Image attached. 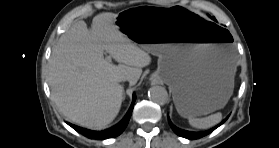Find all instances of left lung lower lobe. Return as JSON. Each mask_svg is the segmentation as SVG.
Segmentation results:
<instances>
[{
  "label": "left lung lower lobe",
  "instance_id": "1",
  "mask_svg": "<svg viewBox=\"0 0 279 148\" xmlns=\"http://www.w3.org/2000/svg\"><path fill=\"white\" fill-rule=\"evenodd\" d=\"M227 119V118H226ZM225 119V120H226ZM224 120V121H225ZM223 121V122H224ZM169 122V125L171 126L172 130L179 136L181 137H184V138H187V139H190V140H193V139H198V138H201L203 136H206L208 135L209 133H211L212 131H214L218 126H220L223 122H221L219 125H217L216 127L208 130V131H203V132H190V131H185V130H182V129H179L177 127H175L170 120H168Z\"/></svg>",
  "mask_w": 279,
  "mask_h": 148
}]
</instances>
